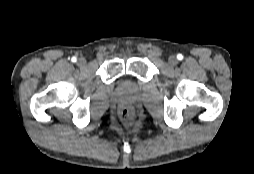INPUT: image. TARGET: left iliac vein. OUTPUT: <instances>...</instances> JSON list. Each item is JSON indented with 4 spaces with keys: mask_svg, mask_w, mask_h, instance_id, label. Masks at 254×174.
Wrapping results in <instances>:
<instances>
[{
    "mask_svg": "<svg viewBox=\"0 0 254 174\" xmlns=\"http://www.w3.org/2000/svg\"><path fill=\"white\" fill-rule=\"evenodd\" d=\"M168 61H169V64L170 65H176L178 63V60L176 58L175 55H171L169 58H168Z\"/></svg>",
    "mask_w": 254,
    "mask_h": 174,
    "instance_id": "left-iliac-vein-1",
    "label": "left iliac vein"
}]
</instances>
